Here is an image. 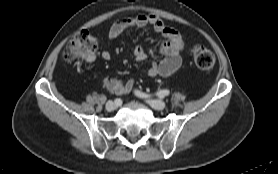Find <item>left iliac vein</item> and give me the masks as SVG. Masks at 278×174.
<instances>
[{"instance_id": "obj_1", "label": "left iliac vein", "mask_w": 278, "mask_h": 174, "mask_svg": "<svg viewBox=\"0 0 278 174\" xmlns=\"http://www.w3.org/2000/svg\"><path fill=\"white\" fill-rule=\"evenodd\" d=\"M148 103L155 110H163L166 106V103L162 100H148Z\"/></svg>"}]
</instances>
